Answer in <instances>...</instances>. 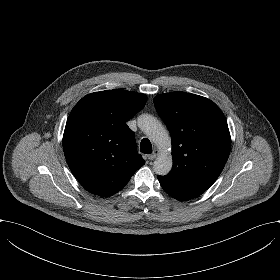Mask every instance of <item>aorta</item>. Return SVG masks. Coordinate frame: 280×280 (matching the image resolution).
I'll return each mask as SVG.
<instances>
[{"label":"aorta","mask_w":280,"mask_h":280,"mask_svg":"<svg viewBox=\"0 0 280 280\" xmlns=\"http://www.w3.org/2000/svg\"><path fill=\"white\" fill-rule=\"evenodd\" d=\"M138 125L159 149V154L154 161L155 173L166 175L173 164L171 137L167 129L151 115H141L138 118Z\"/></svg>","instance_id":"762f6f07"}]
</instances>
